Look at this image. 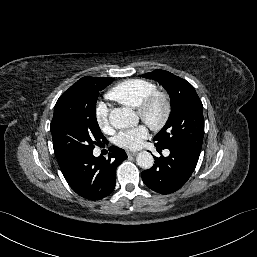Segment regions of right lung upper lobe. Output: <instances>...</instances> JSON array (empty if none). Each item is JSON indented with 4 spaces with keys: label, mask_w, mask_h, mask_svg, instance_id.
Returning a JSON list of instances; mask_svg holds the SVG:
<instances>
[{
    "label": "right lung upper lobe",
    "mask_w": 257,
    "mask_h": 257,
    "mask_svg": "<svg viewBox=\"0 0 257 257\" xmlns=\"http://www.w3.org/2000/svg\"><path fill=\"white\" fill-rule=\"evenodd\" d=\"M88 78H95V77H83V78H81L80 80H78L76 83H78V82H80V81H83V80H86V79H88ZM99 79L108 80V79H110V78H99ZM55 155H56L58 164H59V166H60L62 172L65 171V170L70 166L71 161H72L73 159L65 158V157H62V156L57 155V154H55Z\"/></svg>",
    "instance_id": "cb5924a9"
}]
</instances>
